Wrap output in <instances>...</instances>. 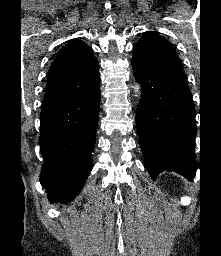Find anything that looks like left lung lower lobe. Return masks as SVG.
<instances>
[{"mask_svg": "<svg viewBox=\"0 0 221 256\" xmlns=\"http://www.w3.org/2000/svg\"><path fill=\"white\" fill-rule=\"evenodd\" d=\"M136 124L145 166L152 178L174 171L189 180L196 172L195 108L184 75L141 74Z\"/></svg>", "mask_w": 221, "mask_h": 256, "instance_id": "0a47b994", "label": "left lung lower lobe"}]
</instances>
